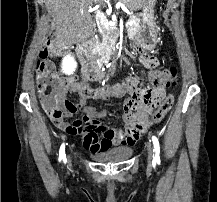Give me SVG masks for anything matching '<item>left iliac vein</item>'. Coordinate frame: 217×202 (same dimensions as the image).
<instances>
[{"mask_svg":"<svg viewBox=\"0 0 217 202\" xmlns=\"http://www.w3.org/2000/svg\"><path fill=\"white\" fill-rule=\"evenodd\" d=\"M147 152H148V160L150 162H153V158H154V148L152 146V144L148 143L147 144Z\"/></svg>","mask_w":217,"mask_h":202,"instance_id":"4c4485c4","label":"left iliac vein"}]
</instances>
